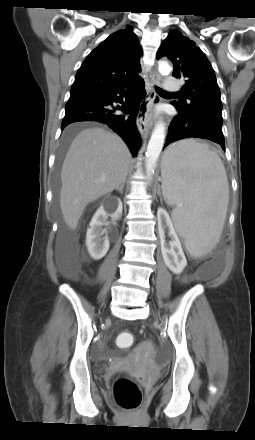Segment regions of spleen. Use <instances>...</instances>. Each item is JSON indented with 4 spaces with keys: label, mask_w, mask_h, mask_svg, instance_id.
<instances>
[{
    "label": "spleen",
    "mask_w": 255,
    "mask_h": 440,
    "mask_svg": "<svg viewBox=\"0 0 255 440\" xmlns=\"http://www.w3.org/2000/svg\"><path fill=\"white\" fill-rule=\"evenodd\" d=\"M162 191L175 229L194 257L209 253L219 241L229 203L222 160L206 144L180 141L168 149Z\"/></svg>",
    "instance_id": "spleen-1"
}]
</instances>
